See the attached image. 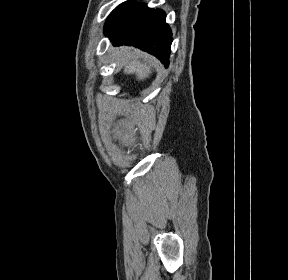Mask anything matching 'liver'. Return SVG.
Masks as SVG:
<instances>
[{"mask_svg": "<svg viewBox=\"0 0 288 280\" xmlns=\"http://www.w3.org/2000/svg\"><path fill=\"white\" fill-rule=\"evenodd\" d=\"M129 60L124 67L125 74H135L137 80H144L151 74V67L138 60L136 51H129Z\"/></svg>", "mask_w": 288, "mask_h": 280, "instance_id": "6515ba94", "label": "liver"}]
</instances>
